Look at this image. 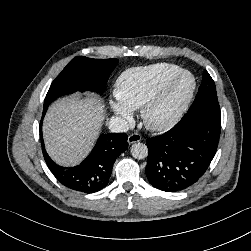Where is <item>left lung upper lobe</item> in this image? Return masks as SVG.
<instances>
[{"mask_svg": "<svg viewBox=\"0 0 251 251\" xmlns=\"http://www.w3.org/2000/svg\"><path fill=\"white\" fill-rule=\"evenodd\" d=\"M190 109L220 112L215 83L207 71L203 74L201 86Z\"/></svg>", "mask_w": 251, "mask_h": 251, "instance_id": "left-lung-upper-lobe-1", "label": "left lung upper lobe"}]
</instances>
